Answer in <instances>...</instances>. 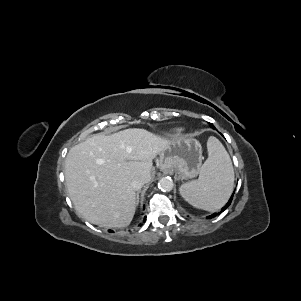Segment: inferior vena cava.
I'll return each instance as SVG.
<instances>
[{
  "instance_id": "1",
  "label": "inferior vena cava",
  "mask_w": 301,
  "mask_h": 301,
  "mask_svg": "<svg viewBox=\"0 0 301 301\" xmlns=\"http://www.w3.org/2000/svg\"><path fill=\"white\" fill-rule=\"evenodd\" d=\"M144 184L145 178L143 176H137L131 182V186L134 190H140Z\"/></svg>"
}]
</instances>
